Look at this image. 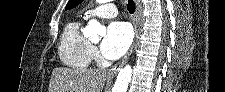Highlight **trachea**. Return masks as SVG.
Returning <instances> with one entry per match:
<instances>
[{
    "label": "trachea",
    "mask_w": 225,
    "mask_h": 92,
    "mask_svg": "<svg viewBox=\"0 0 225 92\" xmlns=\"http://www.w3.org/2000/svg\"><path fill=\"white\" fill-rule=\"evenodd\" d=\"M127 9L130 14H133L135 12V3L133 0H128Z\"/></svg>",
    "instance_id": "3493384b"
}]
</instances>
